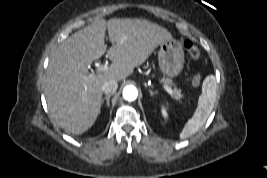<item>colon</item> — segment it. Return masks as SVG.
Here are the masks:
<instances>
[{
    "instance_id": "1",
    "label": "colon",
    "mask_w": 267,
    "mask_h": 178,
    "mask_svg": "<svg viewBox=\"0 0 267 178\" xmlns=\"http://www.w3.org/2000/svg\"><path fill=\"white\" fill-rule=\"evenodd\" d=\"M184 48L188 52L189 56L193 59H199L200 58V50L199 48L191 41V40H185L184 43ZM201 78L199 75H196L192 79V85L193 86H198L200 84Z\"/></svg>"
}]
</instances>
